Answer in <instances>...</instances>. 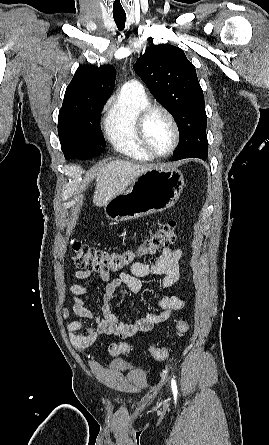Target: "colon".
<instances>
[{
    "instance_id": "5ec220e1",
    "label": "colon",
    "mask_w": 269,
    "mask_h": 445,
    "mask_svg": "<svg viewBox=\"0 0 269 445\" xmlns=\"http://www.w3.org/2000/svg\"><path fill=\"white\" fill-rule=\"evenodd\" d=\"M178 230L175 221H169L159 229L151 233L136 251L112 252L97 249L80 241L71 242L70 257L74 264L83 270L96 272H117L130 267L137 257L153 255L172 245L177 238ZM189 329L186 320L181 319L176 323L175 330L178 336H183ZM111 355L118 356L130 352V346L121 343L111 344ZM149 352L156 360H164L169 355V349L165 347H150Z\"/></svg>"
}]
</instances>
